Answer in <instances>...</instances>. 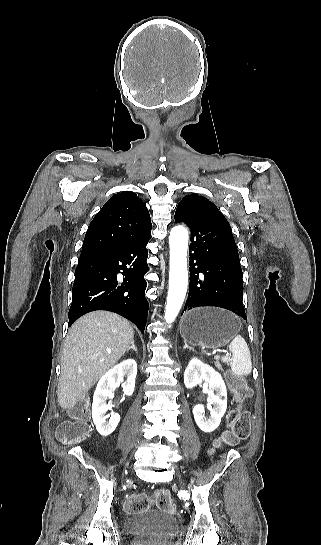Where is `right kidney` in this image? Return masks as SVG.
Wrapping results in <instances>:
<instances>
[{
  "label": "right kidney",
  "instance_id": "ca27d5eb",
  "mask_svg": "<svg viewBox=\"0 0 321 545\" xmlns=\"http://www.w3.org/2000/svg\"><path fill=\"white\" fill-rule=\"evenodd\" d=\"M136 375V361H134V359H126V361H122L119 365H115L113 369H110L108 373H105V375L101 377L93 397L92 419L98 433H100L102 437L111 435L120 421V415H118V413L106 415L107 411H112V407H114L111 403L106 405L108 397H110L111 393H113L117 387H120V383H123L124 377H127L126 383H123L122 385L124 395H128V397L133 395ZM106 419H109V421H106Z\"/></svg>",
  "mask_w": 321,
  "mask_h": 545
}]
</instances>
